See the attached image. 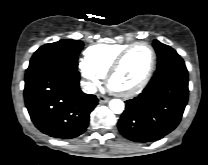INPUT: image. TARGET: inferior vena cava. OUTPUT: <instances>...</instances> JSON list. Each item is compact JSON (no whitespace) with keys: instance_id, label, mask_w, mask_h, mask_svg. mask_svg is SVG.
Listing matches in <instances>:
<instances>
[{"instance_id":"inferior-vena-cava-1","label":"inferior vena cava","mask_w":208,"mask_h":165,"mask_svg":"<svg viewBox=\"0 0 208 165\" xmlns=\"http://www.w3.org/2000/svg\"><path fill=\"white\" fill-rule=\"evenodd\" d=\"M81 86H82L83 92L85 93L94 94L97 91L96 86L90 82H82Z\"/></svg>"}]
</instances>
